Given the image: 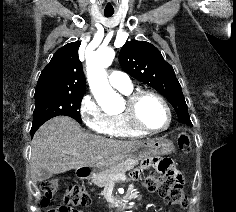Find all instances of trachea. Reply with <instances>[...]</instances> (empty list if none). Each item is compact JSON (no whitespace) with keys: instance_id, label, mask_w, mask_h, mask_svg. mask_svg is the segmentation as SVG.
Here are the masks:
<instances>
[{"instance_id":"obj_1","label":"trachea","mask_w":236,"mask_h":212,"mask_svg":"<svg viewBox=\"0 0 236 212\" xmlns=\"http://www.w3.org/2000/svg\"><path fill=\"white\" fill-rule=\"evenodd\" d=\"M105 17H111L113 12H104Z\"/></svg>"}]
</instances>
